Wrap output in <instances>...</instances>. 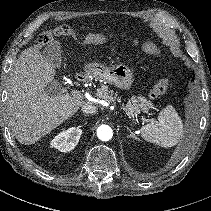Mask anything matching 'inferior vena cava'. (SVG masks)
Returning a JSON list of instances; mask_svg holds the SVG:
<instances>
[{
  "label": "inferior vena cava",
  "instance_id": "obj_1",
  "mask_svg": "<svg viewBox=\"0 0 211 211\" xmlns=\"http://www.w3.org/2000/svg\"><path fill=\"white\" fill-rule=\"evenodd\" d=\"M81 110L83 113H86V114H95L97 112L96 106H94L90 103H86V104L82 105Z\"/></svg>",
  "mask_w": 211,
  "mask_h": 211
}]
</instances>
